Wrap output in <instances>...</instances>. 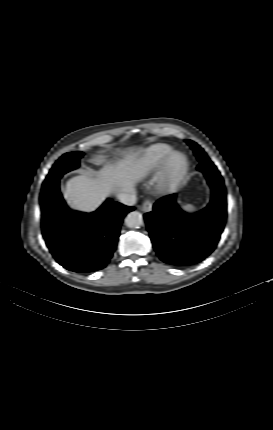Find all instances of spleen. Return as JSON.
I'll use <instances>...</instances> for the list:
<instances>
[{"label": "spleen", "mask_w": 273, "mask_h": 430, "mask_svg": "<svg viewBox=\"0 0 273 430\" xmlns=\"http://www.w3.org/2000/svg\"><path fill=\"white\" fill-rule=\"evenodd\" d=\"M182 210L186 214L192 215L195 212L196 207L194 205H192V204H187V205H185V206L182 207Z\"/></svg>", "instance_id": "1"}]
</instances>
